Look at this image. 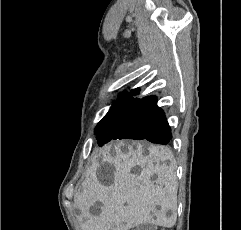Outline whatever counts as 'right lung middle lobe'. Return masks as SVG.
Listing matches in <instances>:
<instances>
[{"label":"right lung middle lobe","instance_id":"obj_1","mask_svg":"<svg viewBox=\"0 0 241 230\" xmlns=\"http://www.w3.org/2000/svg\"><path fill=\"white\" fill-rule=\"evenodd\" d=\"M144 105L137 113L123 114L121 112H109L95 128V136L98 145L102 146L113 139H134L138 140L137 133L133 127L138 125L142 119L141 114L147 108Z\"/></svg>","mask_w":241,"mask_h":230}]
</instances>
